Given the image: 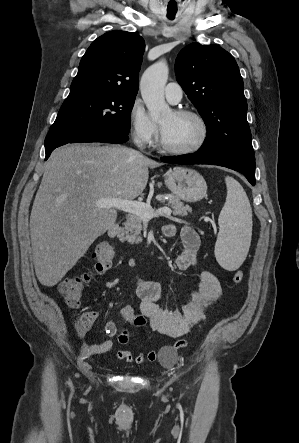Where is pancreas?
<instances>
[{
    "mask_svg": "<svg viewBox=\"0 0 299 443\" xmlns=\"http://www.w3.org/2000/svg\"><path fill=\"white\" fill-rule=\"evenodd\" d=\"M169 197L167 201V206L173 209V214L176 216H186L188 212H191L189 206H184V203L177 197L173 195H167ZM165 195L161 196V201L164 203ZM142 230V218L135 214H129L127 220L124 223V228L119 234V239L121 242L128 241L130 244H139L142 242V237L140 236Z\"/></svg>",
    "mask_w": 299,
    "mask_h": 443,
    "instance_id": "obj_1",
    "label": "pancreas"
}]
</instances>
